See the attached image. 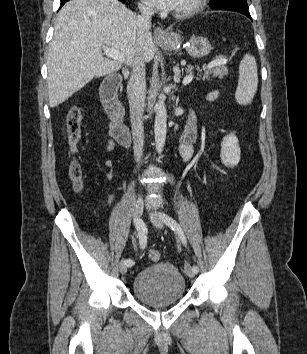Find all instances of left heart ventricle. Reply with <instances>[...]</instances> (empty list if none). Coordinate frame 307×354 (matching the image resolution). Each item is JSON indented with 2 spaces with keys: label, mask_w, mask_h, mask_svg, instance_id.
I'll return each mask as SVG.
<instances>
[{
  "label": "left heart ventricle",
  "mask_w": 307,
  "mask_h": 354,
  "mask_svg": "<svg viewBox=\"0 0 307 354\" xmlns=\"http://www.w3.org/2000/svg\"><path fill=\"white\" fill-rule=\"evenodd\" d=\"M189 1H190V0H181V3H180V5H179V7H178L177 10H181V9H183L184 7H186V6L188 5Z\"/></svg>",
  "instance_id": "obj_1"
}]
</instances>
